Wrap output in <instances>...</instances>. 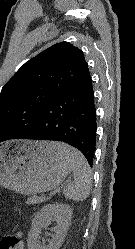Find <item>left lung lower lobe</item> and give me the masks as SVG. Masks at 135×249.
I'll use <instances>...</instances> for the list:
<instances>
[{
	"label": "left lung lower lobe",
	"mask_w": 135,
	"mask_h": 249,
	"mask_svg": "<svg viewBox=\"0 0 135 249\" xmlns=\"http://www.w3.org/2000/svg\"><path fill=\"white\" fill-rule=\"evenodd\" d=\"M96 107L89 75L42 111L36 126L18 139L54 140L81 151L92 166L96 143Z\"/></svg>",
	"instance_id": "0a47b994"
}]
</instances>
